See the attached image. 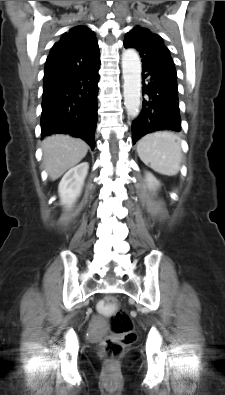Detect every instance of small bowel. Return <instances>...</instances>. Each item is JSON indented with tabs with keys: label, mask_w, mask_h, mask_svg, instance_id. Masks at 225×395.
I'll list each match as a JSON object with an SVG mask.
<instances>
[{
	"label": "small bowel",
	"mask_w": 225,
	"mask_h": 395,
	"mask_svg": "<svg viewBox=\"0 0 225 395\" xmlns=\"http://www.w3.org/2000/svg\"><path fill=\"white\" fill-rule=\"evenodd\" d=\"M120 302H117V304H108L107 309H108V313L110 315H114L115 313H118L119 309H120ZM98 309L101 311H105V305L104 302L101 301L98 304Z\"/></svg>",
	"instance_id": "small-bowel-1"
}]
</instances>
